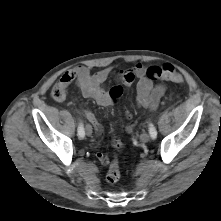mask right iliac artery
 Segmentation results:
<instances>
[{"mask_svg":"<svg viewBox=\"0 0 221 221\" xmlns=\"http://www.w3.org/2000/svg\"><path fill=\"white\" fill-rule=\"evenodd\" d=\"M77 132H78L79 138H84V136H85V131H84V127H83V124H82V123L79 124L78 129H77Z\"/></svg>","mask_w":221,"mask_h":221,"instance_id":"right-iliac-artery-1","label":"right iliac artery"}]
</instances>
